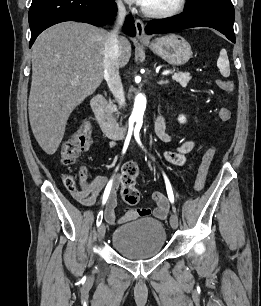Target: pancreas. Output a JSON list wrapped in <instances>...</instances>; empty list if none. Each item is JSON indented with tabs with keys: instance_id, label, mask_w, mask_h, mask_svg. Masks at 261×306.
Wrapping results in <instances>:
<instances>
[{
	"instance_id": "pancreas-1",
	"label": "pancreas",
	"mask_w": 261,
	"mask_h": 306,
	"mask_svg": "<svg viewBox=\"0 0 261 306\" xmlns=\"http://www.w3.org/2000/svg\"><path fill=\"white\" fill-rule=\"evenodd\" d=\"M172 79L178 82L182 87H186L188 82L191 80V75L189 73H175ZM112 111H117V108L112 105Z\"/></svg>"
}]
</instances>
